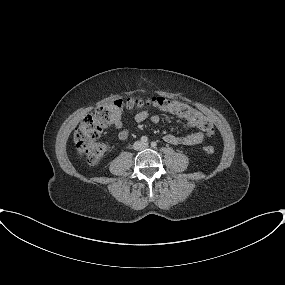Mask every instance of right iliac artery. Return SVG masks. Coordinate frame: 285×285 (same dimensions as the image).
I'll return each instance as SVG.
<instances>
[{"mask_svg": "<svg viewBox=\"0 0 285 285\" xmlns=\"http://www.w3.org/2000/svg\"><path fill=\"white\" fill-rule=\"evenodd\" d=\"M141 142L142 143H147L148 142V138L146 136H142L141 137Z\"/></svg>", "mask_w": 285, "mask_h": 285, "instance_id": "right-iliac-artery-1", "label": "right iliac artery"}]
</instances>
